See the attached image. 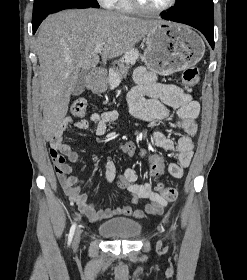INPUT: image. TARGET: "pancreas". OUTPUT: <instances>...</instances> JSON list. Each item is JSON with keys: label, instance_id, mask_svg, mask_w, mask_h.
<instances>
[{"label": "pancreas", "instance_id": "1", "mask_svg": "<svg viewBox=\"0 0 247 280\" xmlns=\"http://www.w3.org/2000/svg\"><path fill=\"white\" fill-rule=\"evenodd\" d=\"M139 56H140V54L136 49H131V50L127 51L123 55V57L116 63L120 64L121 69H124L125 68L124 64H126V65L135 64L137 59L139 58ZM120 79H121V75H120L119 69H115V68L110 69L109 78H108L110 87L113 88V87L117 86L120 83Z\"/></svg>", "mask_w": 247, "mask_h": 280}]
</instances>
